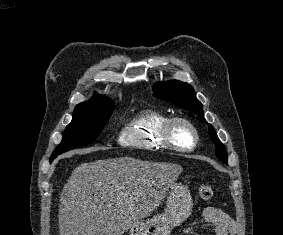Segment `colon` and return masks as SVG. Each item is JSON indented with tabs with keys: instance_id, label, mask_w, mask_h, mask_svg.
<instances>
[{
	"instance_id": "1",
	"label": "colon",
	"mask_w": 283,
	"mask_h": 235,
	"mask_svg": "<svg viewBox=\"0 0 283 235\" xmlns=\"http://www.w3.org/2000/svg\"><path fill=\"white\" fill-rule=\"evenodd\" d=\"M198 192L199 196L205 201L211 200L214 196L213 188L208 184L200 185Z\"/></svg>"
}]
</instances>
